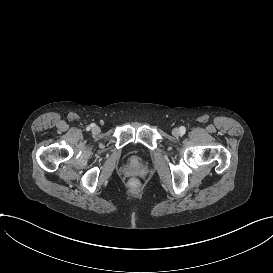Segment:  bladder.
Returning a JSON list of instances; mask_svg holds the SVG:
<instances>
[{"instance_id":"31cf9c89","label":"bladder","mask_w":273,"mask_h":273,"mask_svg":"<svg viewBox=\"0 0 273 273\" xmlns=\"http://www.w3.org/2000/svg\"><path fill=\"white\" fill-rule=\"evenodd\" d=\"M130 158L134 163H138L141 160L140 157L138 155H136V154H131Z\"/></svg>"}]
</instances>
